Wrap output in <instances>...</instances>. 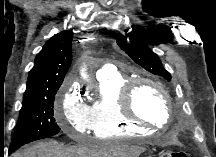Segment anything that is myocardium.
<instances>
[{
	"instance_id": "f54148a6",
	"label": "myocardium",
	"mask_w": 216,
	"mask_h": 157,
	"mask_svg": "<svg viewBox=\"0 0 216 157\" xmlns=\"http://www.w3.org/2000/svg\"><path fill=\"white\" fill-rule=\"evenodd\" d=\"M142 84H149L159 90L164 100L165 108L168 115L167 121L164 125H156L153 122L139 116L134 110V96L138 87ZM119 103L123 116L137 125L154 129H163L166 128L172 121V109L168 91L160 82L152 78L138 77L129 79L120 89Z\"/></svg>"
}]
</instances>
